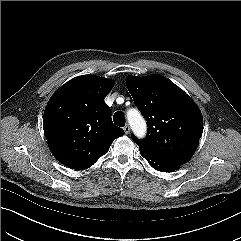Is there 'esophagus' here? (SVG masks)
<instances>
[{"label":"esophagus","mask_w":241,"mask_h":241,"mask_svg":"<svg viewBox=\"0 0 241 241\" xmlns=\"http://www.w3.org/2000/svg\"><path fill=\"white\" fill-rule=\"evenodd\" d=\"M123 129H124L125 134L130 133V126L129 125H126Z\"/></svg>","instance_id":"esophagus-1"}]
</instances>
